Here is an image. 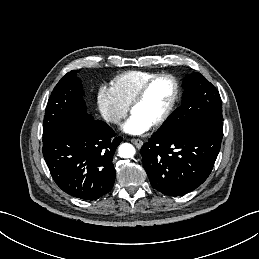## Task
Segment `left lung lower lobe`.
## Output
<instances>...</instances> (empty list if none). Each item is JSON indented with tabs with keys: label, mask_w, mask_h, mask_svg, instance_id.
<instances>
[{
	"label": "left lung lower lobe",
	"mask_w": 259,
	"mask_h": 259,
	"mask_svg": "<svg viewBox=\"0 0 259 259\" xmlns=\"http://www.w3.org/2000/svg\"><path fill=\"white\" fill-rule=\"evenodd\" d=\"M223 122L200 119L174 134L157 131L143 144V166L153 188L181 196L209 176L221 147Z\"/></svg>",
	"instance_id": "1"
}]
</instances>
